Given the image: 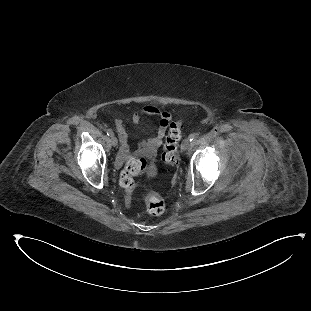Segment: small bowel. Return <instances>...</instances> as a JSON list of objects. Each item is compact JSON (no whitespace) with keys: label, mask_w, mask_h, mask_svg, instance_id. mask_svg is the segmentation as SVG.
Segmentation results:
<instances>
[{"label":"small bowel","mask_w":311,"mask_h":311,"mask_svg":"<svg viewBox=\"0 0 311 311\" xmlns=\"http://www.w3.org/2000/svg\"><path fill=\"white\" fill-rule=\"evenodd\" d=\"M143 117L158 118L156 133L153 136L142 140L138 147V153L141 156L151 159L156 155L158 148L162 144L163 138L170 125L172 115L169 111L160 110L155 105H147L131 115V122L137 124ZM116 130L121 142L120 156L123 159H127L130 155V147L126 124L121 120H117Z\"/></svg>","instance_id":"1"}]
</instances>
